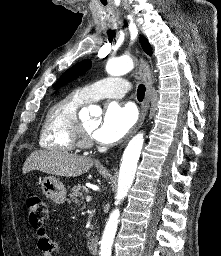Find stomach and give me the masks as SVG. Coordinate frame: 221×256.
<instances>
[{
	"label": "stomach",
	"instance_id": "obj_1",
	"mask_svg": "<svg viewBox=\"0 0 221 256\" xmlns=\"http://www.w3.org/2000/svg\"><path fill=\"white\" fill-rule=\"evenodd\" d=\"M43 194L57 204L64 203L66 199V188L63 183L54 176L44 177L41 181Z\"/></svg>",
	"mask_w": 221,
	"mask_h": 256
}]
</instances>
